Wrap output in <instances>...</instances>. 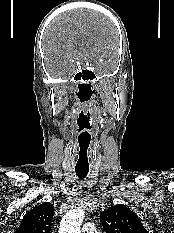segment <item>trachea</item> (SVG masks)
<instances>
[{
    "mask_svg": "<svg viewBox=\"0 0 174 233\" xmlns=\"http://www.w3.org/2000/svg\"><path fill=\"white\" fill-rule=\"evenodd\" d=\"M75 172L79 179H84L89 172V167H75Z\"/></svg>",
    "mask_w": 174,
    "mask_h": 233,
    "instance_id": "obj_1",
    "label": "trachea"
}]
</instances>
